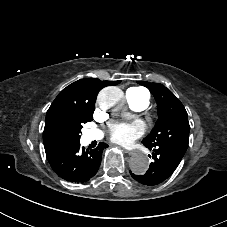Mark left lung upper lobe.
I'll return each instance as SVG.
<instances>
[{
  "label": "left lung upper lobe",
  "mask_w": 227,
  "mask_h": 227,
  "mask_svg": "<svg viewBox=\"0 0 227 227\" xmlns=\"http://www.w3.org/2000/svg\"><path fill=\"white\" fill-rule=\"evenodd\" d=\"M150 89L158 105L159 119L142 143L146 147L167 145L185 153L188 147L190 126L187 112L179 99L164 85L137 81Z\"/></svg>",
  "instance_id": "1"
}]
</instances>
